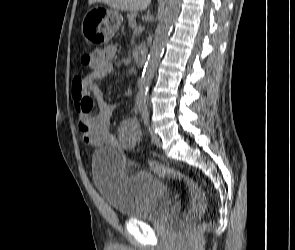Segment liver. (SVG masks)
I'll use <instances>...</instances> for the list:
<instances>
[{"mask_svg":"<svg viewBox=\"0 0 295 250\" xmlns=\"http://www.w3.org/2000/svg\"><path fill=\"white\" fill-rule=\"evenodd\" d=\"M96 2L104 3L117 11L137 12L145 10L151 0H89L90 5Z\"/></svg>","mask_w":295,"mask_h":250,"instance_id":"6515ba94","label":"liver"}]
</instances>
